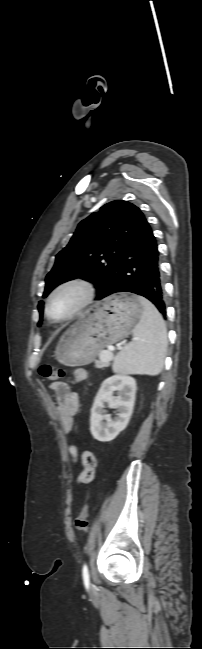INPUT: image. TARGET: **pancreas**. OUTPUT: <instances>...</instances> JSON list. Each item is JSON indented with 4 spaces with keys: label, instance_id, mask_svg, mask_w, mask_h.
<instances>
[{
    "label": "pancreas",
    "instance_id": "obj_1",
    "mask_svg": "<svg viewBox=\"0 0 202 649\" xmlns=\"http://www.w3.org/2000/svg\"><path fill=\"white\" fill-rule=\"evenodd\" d=\"M103 352H106L107 354L113 355V353H112L110 350H102V351H100V353H99V358H100V355H101ZM109 365H110L109 362H107V361H102L101 359H100L99 361H96V363H95L96 368H105V367H108Z\"/></svg>",
    "mask_w": 202,
    "mask_h": 649
}]
</instances>
